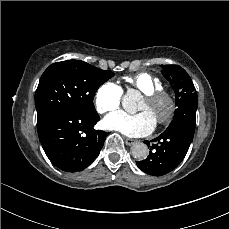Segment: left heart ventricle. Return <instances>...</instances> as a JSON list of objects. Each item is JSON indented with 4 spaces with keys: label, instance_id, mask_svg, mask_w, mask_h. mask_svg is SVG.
Returning a JSON list of instances; mask_svg holds the SVG:
<instances>
[{
    "label": "left heart ventricle",
    "instance_id": "1",
    "mask_svg": "<svg viewBox=\"0 0 229 229\" xmlns=\"http://www.w3.org/2000/svg\"><path fill=\"white\" fill-rule=\"evenodd\" d=\"M167 105L165 103L151 104L145 98L138 110L148 112L154 119L162 115L166 111Z\"/></svg>",
    "mask_w": 229,
    "mask_h": 229
}]
</instances>
